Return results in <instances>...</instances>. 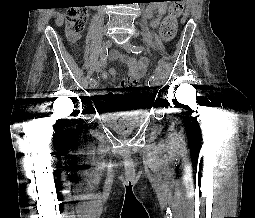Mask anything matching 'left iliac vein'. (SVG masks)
Wrapping results in <instances>:
<instances>
[{
	"label": "left iliac vein",
	"instance_id": "obj_1",
	"mask_svg": "<svg viewBox=\"0 0 255 218\" xmlns=\"http://www.w3.org/2000/svg\"><path fill=\"white\" fill-rule=\"evenodd\" d=\"M132 47H133V44H131V43H125V44H123V48H124L127 52H131V51H132Z\"/></svg>",
	"mask_w": 255,
	"mask_h": 218
}]
</instances>
